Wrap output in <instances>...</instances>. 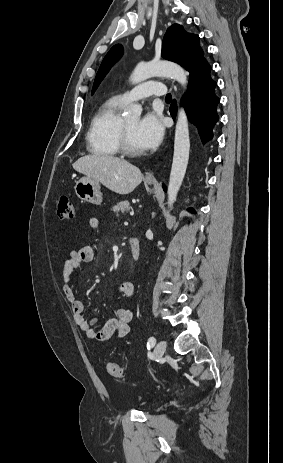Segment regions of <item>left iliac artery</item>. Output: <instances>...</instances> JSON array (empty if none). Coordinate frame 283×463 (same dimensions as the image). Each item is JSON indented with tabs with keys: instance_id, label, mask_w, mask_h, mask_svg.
<instances>
[{
	"instance_id": "obj_1",
	"label": "left iliac artery",
	"mask_w": 283,
	"mask_h": 463,
	"mask_svg": "<svg viewBox=\"0 0 283 463\" xmlns=\"http://www.w3.org/2000/svg\"><path fill=\"white\" fill-rule=\"evenodd\" d=\"M156 343V339L154 337H150L147 342V348H152Z\"/></svg>"
}]
</instances>
